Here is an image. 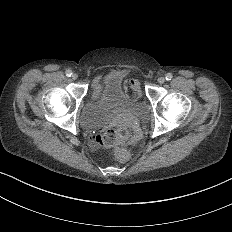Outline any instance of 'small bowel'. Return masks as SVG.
I'll return each mask as SVG.
<instances>
[{
  "mask_svg": "<svg viewBox=\"0 0 232 232\" xmlns=\"http://www.w3.org/2000/svg\"><path fill=\"white\" fill-rule=\"evenodd\" d=\"M105 84V79L103 74H99L93 78L91 81V87L93 89L92 98L88 103V113L93 116L97 112L98 104L102 99V90ZM110 87V97L112 100L116 101L119 99V82L115 78H111L108 81Z\"/></svg>",
  "mask_w": 232,
  "mask_h": 232,
  "instance_id": "obj_1",
  "label": "small bowel"
}]
</instances>
